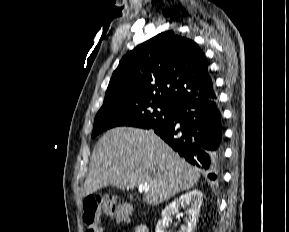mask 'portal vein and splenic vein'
<instances>
[{"instance_id":"1","label":"portal vein and splenic vein","mask_w":289,"mask_h":232,"mask_svg":"<svg viewBox=\"0 0 289 232\" xmlns=\"http://www.w3.org/2000/svg\"><path fill=\"white\" fill-rule=\"evenodd\" d=\"M141 188L145 192L149 191V186L147 184H141Z\"/></svg>"}]
</instances>
